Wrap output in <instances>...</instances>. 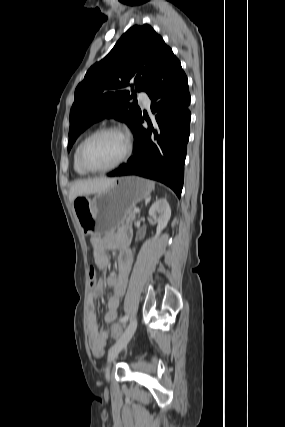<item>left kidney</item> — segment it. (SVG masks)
<instances>
[{
  "label": "left kidney",
  "instance_id": "obj_1",
  "mask_svg": "<svg viewBox=\"0 0 285 427\" xmlns=\"http://www.w3.org/2000/svg\"><path fill=\"white\" fill-rule=\"evenodd\" d=\"M149 215L157 222L155 239L159 237L162 230L167 226L171 216V209L166 199L162 198L154 202L149 209Z\"/></svg>",
  "mask_w": 285,
  "mask_h": 427
}]
</instances>
